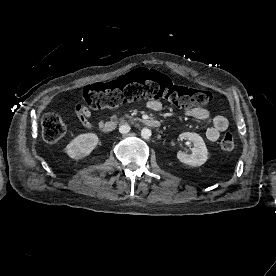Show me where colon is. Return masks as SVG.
Segmentation results:
<instances>
[{"label": "colon", "instance_id": "1", "mask_svg": "<svg viewBox=\"0 0 276 276\" xmlns=\"http://www.w3.org/2000/svg\"><path fill=\"white\" fill-rule=\"evenodd\" d=\"M82 97L94 109L115 107L139 99H164L179 108L202 106L212 100L208 90L177 85L167 75L144 67L112 82L87 86ZM41 128L46 142H56L66 133L65 121L54 113L42 117ZM220 148L225 152L235 148L233 134L228 132L222 137Z\"/></svg>", "mask_w": 276, "mask_h": 276}]
</instances>
